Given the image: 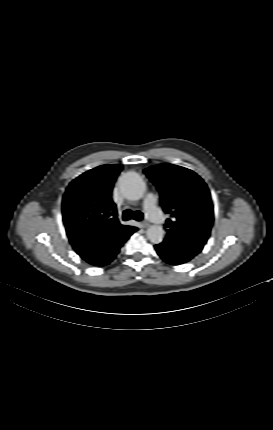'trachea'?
Masks as SVG:
<instances>
[{
    "label": "trachea",
    "instance_id": "obj_1",
    "mask_svg": "<svg viewBox=\"0 0 273 430\" xmlns=\"http://www.w3.org/2000/svg\"><path fill=\"white\" fill-rule=\"evenodd\" d=\"M124 221H128L130 219L136 220V221H141L143 219V213L141 211H132L130 209H126L123 212V216H122Z\"/></svg>",
    "mask_w": 273,
    "mask_h": 430
}]
</instances>
